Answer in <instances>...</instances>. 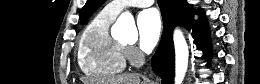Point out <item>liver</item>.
I'll return each instance as SVG.
<instances>
[{"label": "liver", "mask_w": 260, "mask_h": 84, "mask_svg": "<svg viewBox=\"0 0 260 84\" xmlns=\"http://www.w3.org/2000/svg\"><path fill=\"white\" fill-rule=\"evenodd\" d=\"M86 84H142L140 78L136 74L118 75L115 77L103 78L97 81L88 80Z\"/></svg>", "instance_id": "liver-1"}]
</instances>
